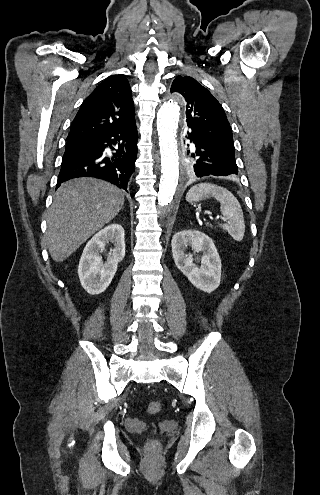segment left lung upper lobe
Listing matches in <instances>:
<instances>
[{
    "label": "left lung upper lobe",
    "instance_id": "left-lung-upper-lobe-1",
    "mask_svg": "<svg viewBox=\"0 0 320 495\" xmlns=\"http://www.w3.org/2000/svg\"><path fill=\"white\" fill-rule=\"evenodd\" d=\"M171 92L183 95L186 104V122L194 132L205 141L211 142L226 152L234 153L232 129L224 109L213 95L194 78L177 76L172 83ZM189 172L194 175L197 153L187 151Z\"/></svg>",
    "mask_w": 320,
    "mask_h": 495
}]
</instances>
